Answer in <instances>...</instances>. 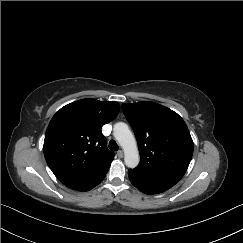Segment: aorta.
Here are the masks:
<instances>
[{
    "label": "aorta",
    "mask_w": 243,
    "mask_h": 243,
    "mask_svg": "<svg viewBox=\"0 0 243 243\" xmlns=\"http://www.w3.org/2000/svg\"><path fill=\"white\" fill-rule=\"evenodd\" d=\"M113 134L124 151V162L127 167L135 168L138 166L140 156L135 137L128 125L118 122L114 125Z\"/></svg>",
    "instance_id": "762f6f07"
}]
</instances>
